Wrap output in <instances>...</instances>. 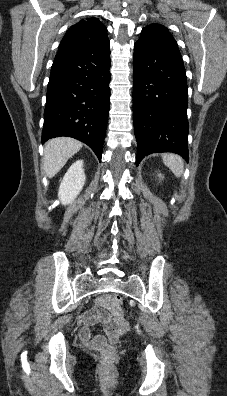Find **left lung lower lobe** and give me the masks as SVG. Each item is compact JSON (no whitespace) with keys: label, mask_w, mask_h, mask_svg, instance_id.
Here are the masks:
<instances>
[{"label":"left lung lower lobe","mask_w":227,"mask_h":396,"mask_svg":"<svg viewBox=\"0 0 227 396\" xmlns=\"http://www.w3.org/2000/svg\"><path fill=\"white\" fill-rule=\"evenodd\" d=\"M136 164L156 152L188 161L186 73L178 46L139 38L133 55Z\"/></svg>","instance_id":"obj_1"}]
</instances>
